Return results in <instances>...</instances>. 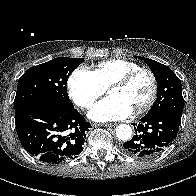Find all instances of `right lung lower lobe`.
Listing matches in <instances>:
<instances>
[{"instance_id":"98d812e1","label":"right lung lower lobe","mask_w":196,"mask_h":196,"mask_svg":"<svg viewBox=\"0 0 196 196\" xmlns=\"http://www.w3.org/2000/svg\"><path fill=\"white\" fill-rule=\"evenodd\" d=\"M16 131L23 148L48 164H59L79 155L85 133L91 128L74 108L38 100L15 109Z\"/></svg>"}]
</instances>
